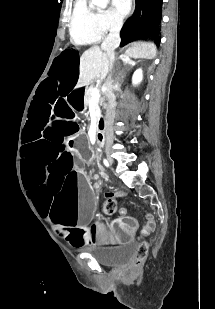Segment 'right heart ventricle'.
<instances>
[{
    "instance_id": "obj_1",
    "label": "right heart ventricle",
    "mask_w": 215,
    "mask_h": 309,
    "mask_svg": "<svg viewBox=\"0 0 215 309\" xmlns=\"http://www.w3.org/2000/svg\"><path fill=\"white\" fill-rule=\"evenodd\" d=\"M70 24L72 28L70 40L74 45L81 46L87 42H100L104 29L98 27L94 14H85L84 9H79L78 14H74V19H71Z\"/></svg>"
}]
</instances>
